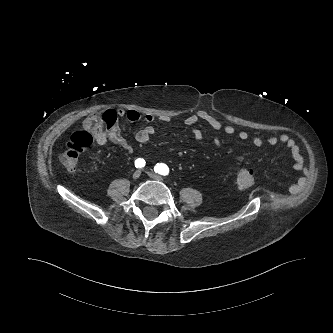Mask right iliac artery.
<instances>
[{"instance_id": "obj_1", "label": "right iliac artery", "mask_w": 333, "mask_h": 333, "mask_svg": "<svg viewBox=\"0 0 333 333\" xmlns=\"http://www.w3.org/2000/svg\"><path fill=\"white\" fill-rule=\"evenodd\" d=\"M146 162L143 158H138L135 160V167L136 168H143L145 166Z\"/></svg>"}]
</instances>
